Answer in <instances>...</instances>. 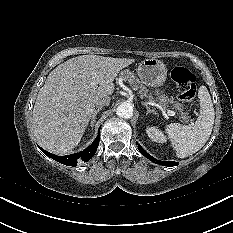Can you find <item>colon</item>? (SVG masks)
I'll return each mask as SVG.
<instances>
[{
	"label": "colon",
	"instance_id": "colon-1",
	"mask_svg": "<svg viewBox=\"0 0 233 233\" xmlns=\"http://www.w3.org/2000/svg\"><path fill=\"white\" fill-rule=\"evenodd\" d=\"M171 77L178 90V98L183 103H191L196 95L195 75L185 67H175Z\"/></svg>",
	"mask_w": 233,
	"mask_h": 233
}]
</instances>
